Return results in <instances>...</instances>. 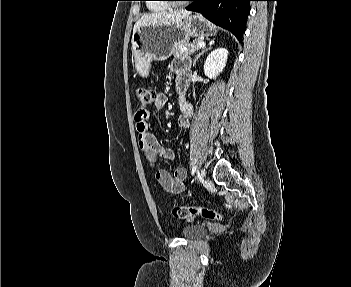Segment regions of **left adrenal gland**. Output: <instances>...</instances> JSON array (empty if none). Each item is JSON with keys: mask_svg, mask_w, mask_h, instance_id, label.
<instances>
[{"mask_svg": "<svg viewBox=\"0 0 351 287\" xmlns=\"http://www.w3.org/2000/svg\"><path fill=\"white\" fill-rule=\"evenodd\" d=\"M213 43H214V41H211V42H210V47H209V48H204V49H202L201 52H200L199 54L196 55V57H195V59H194V62H193V67H195L196 62H197V60L200 58V56L203 55V53H204L205 51H207L208 49H211V45H212Z\"/></svg>", "mask_w": 351, "mask_h": 287, "instance_id": "1", "label": "left adrenal gland"}]
</instances>
